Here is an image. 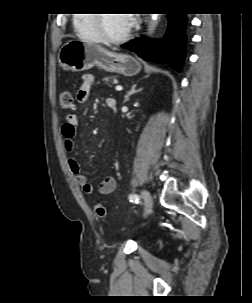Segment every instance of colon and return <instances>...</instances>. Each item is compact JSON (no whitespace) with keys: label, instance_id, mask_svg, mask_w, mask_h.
Wrapping results in <instances>:
<instances>
[{"label":"colon","instance_id":"1","mask_svg":"<svg viewBox=\"0 0 252 303\" xmlns=\"http://www.w3.org/2000/svg\"><path fill=\"white\" fill-rule=\"evenodd\" d=\"M59 100H60V106L62 107V109L70 110L73 108V96L69 90H63L60 93ZM94 213L97 218H100V219L105 218L106 217L105 206L100 202L95 203Z\"/></svg>","mask_w":252,"mask_h":303}]
</instances>
